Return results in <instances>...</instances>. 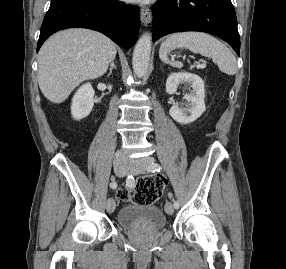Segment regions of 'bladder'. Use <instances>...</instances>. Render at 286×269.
I'll return each instance as SVG.
<instances>
[{"label": "bladder", "mask_w": 286, "mask_h": 269, "mask_svg": "<svg viewBox=\"0 0 286 269\" xmlns=\"http://www.w3.org/2000/svg\"><path fill=\"white\" fill-rule=\"evenodd\" d=\"M117 223L126 231H159L167 219L157 206L128 203L118 211Z\"/></svg>", "instance_id": "1"}]
</instances>
